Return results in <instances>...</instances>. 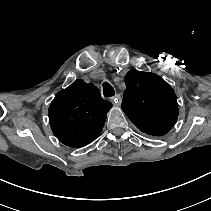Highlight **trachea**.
Listing matches in <instances>:
<instances>
[{"instance_id": "obj_1", "label": "trachea", "mask_w": 211, "mask_h": 211, "mask_svg": "<svg viewBox=\"0 0 211 211\" xmlns=\"http://www.w3.org/2000/svg\"><path fill=\"white\" fill-rule=\"evenodd\" d=\"M103 95L105 97H111L115 95V90L114 88L111 86V84H109V82L105 81L103 83Z\"/></svg>"}]
</instances>
